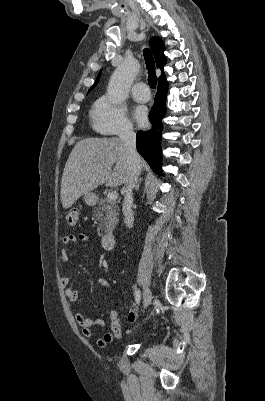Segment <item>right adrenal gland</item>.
<instances>
[{"label":"right adrenal gland","instance_id":"1","mask_svg":"<svg viewBox=\"0 0 265 401\" xmlns=\"http://www.w3.org/2000/svg\"><path fill=\"white\" fill-rule=\"evenodd\" d=\"M141 180L142 178H138L137 182H136V186H135V190H138L140 184H141Z\"/></svg>","mask_w":265,"mask_h":401}]
</instances>
